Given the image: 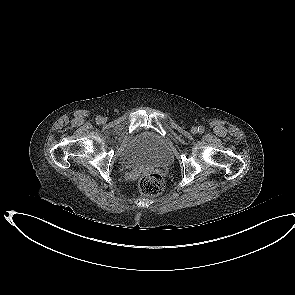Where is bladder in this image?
<instances>
[{
  "mask_svg": "<svg viewBox=\"0 0 295 295\" xmlns=\"http://www.w3.org/2000/svg\"><path fill=\"white\" fill-rule=\"evenodd\" d=\"M174 155L168 143L152 132H141L130 139L120 155L125 167L139 164L168 167Z\"/></svg>",
  "mask_w": 295,
  "mask_h": 295,
  "instance_id": "bladder-1",
  "label": "bladder"
}]
</instances>
